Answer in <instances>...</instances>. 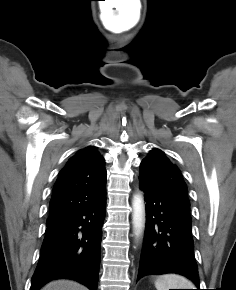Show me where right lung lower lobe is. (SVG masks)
<instances>
[{
    "label": "right lung lower lobe",
    "mask_w": 236,
    "mask_h": 290,
    "mask_svg": "<svg viewBox=\"0 0 236 290\" xmlns=\"http://www.w3.org/2000/svg\"><path fill=\"white\" fill-rule=\"evenodd\" d=\"M105 205L104 195L96 203L47 225L30 290L58 278L73 279L97 290Z\"/></svg>",
    "instance_id": "1"
}]
</instances>
